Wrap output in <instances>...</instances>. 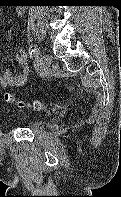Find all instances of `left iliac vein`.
Masks as SVG:
<instances>
[{"label": "left iliac vein", "instance_id": "1", "mask_svg": "<svg viewBox=\"0 0 121 197\" xmlns=\"http://www.w3.org/2000/svg\"><path fill=\"white\" fill-rule=\"evenodd\" d=\"M51 62H52V58L50 55L43 54L41 56L40 64L37 70L40 76H45L48 73L51 66Z\"/></svg>", "mask_w": 121, "mask_h": 197}]
</instances>
